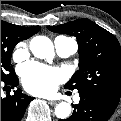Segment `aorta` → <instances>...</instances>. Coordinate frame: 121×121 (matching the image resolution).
<instances>
[{
  "label": "aorta",
  "mask_w": 121,
  "mask_h": 121,
  "mask_svg": "<svg viewBox=\"0 0 121 121\" xmlns=\"http://www.w3.org/2000/svg\"><path fill=\"white\" fill-rule=\"evenodd\" d=\"M30 50L38 58L48 59L54 54L52 41L46 36H36L30 41ZM71 113V105L67 102L59 103L55 108V114L60 119L69 117Z\"/></svg>",
  "instance_id": "1"
}]
</instances>
